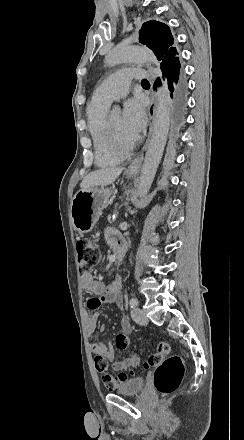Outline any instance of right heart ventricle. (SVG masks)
Listing matches in <instances>:
<instances>
[{"label": "right heart ventricle", "mask_w": 244, "mask_h": 440, "mask_svg": "<svg viewBox=\"0 0 244 440\" xmlns=\"http://www.w3.org/2000/svg\"><path fill=\"white\" fill-rule=\"evenodd\" d=\"M109 105L91 100L86 109L88 129L96 150L95 162L100 168H112L120 164L125 158V153L121 147H107V141L104 140V133L107 131L102 127Z\"/></svg>", "instance_id": "obj_1"}]
</instances>
